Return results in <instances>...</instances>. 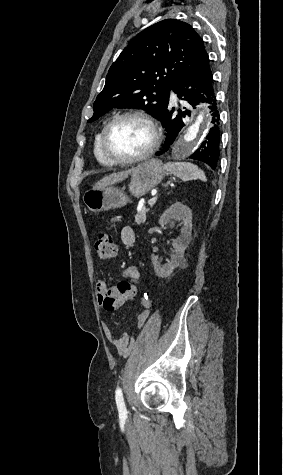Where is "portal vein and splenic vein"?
<instances>
[{
  "instance_id": "1",
  "label": "portal vein and splenic vein",
  "mask_w": 283,
  "mask_h": 475,
  "mask_svg": "<svg viewBox=\"0 0 283 475\" xmlns=\"http://www.w3.org/2000/svg\"><path fill=\"white\" fill-rule=\"evenodd\" d=\"M149 206H153V204H156V198H151V200H148ZM139 206H143V204H139Z\"/></svg>"
}]
</instances>
